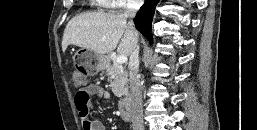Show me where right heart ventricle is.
Here are the masks:
<instances>
[{"mask_svg":"<svg viewBox=\"0 0 257 130\" xmlns=\"http://www.w3.org/2000/svg\"><path fill=\"white\" fill-rule=\"evenodd\" d=\"M91 1L100 6H103L102 2H104L103 0H91Z\"/></svg>","mask_w":257,"mask_h":130,"instance_id":"right-heart-ventricle-1","label":"right heart ventricle"}]
</instances>
